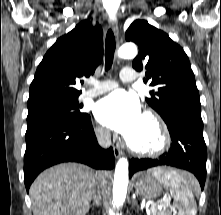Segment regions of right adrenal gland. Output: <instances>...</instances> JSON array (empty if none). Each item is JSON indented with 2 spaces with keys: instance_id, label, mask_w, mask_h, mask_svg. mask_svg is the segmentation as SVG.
<instances>
[{
  "instance_id": "obj_1",
  "label": "right adrenal gland",
  "mask_w": 221,
  "mask_h": 215,
  "mask_svg": "<svg viewBox=\"0 0 221 215\" xmlns=\"http://www.w3.org/2000/svg\"><path fill=\"white\" fill-rule=\"evenodd\" d=\"M100 206V199H96L94 202H93V204L91 205V207H93V206Z\"/></svg>"
}]
</instances>
